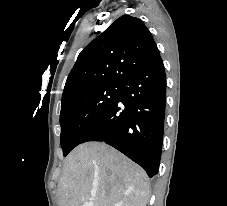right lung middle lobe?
I'll list each match as a JSON object with an SVG mask.
<instances>
[{
	"instance_id": "dd1d6c3e",
	"label": "right lung middle lobe",
	"mask_w": 227,
	"mask_h": 206,
	"mask_svg": "<svg viewBox=\"0 0 227 206\" xmlns=\"http://www.w3.org/2000/svg\"><path fill=\"white\" fill-rule=\"evenodd\" d=\"M120 92L121 83H108L84 89L62 100L60 139L64 156L82 143Z\"/></svg>"
}]
</instances>
